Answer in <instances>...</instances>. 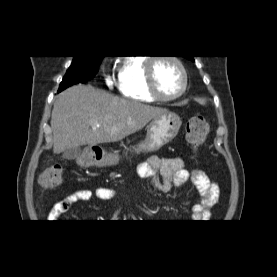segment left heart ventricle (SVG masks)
Returning a JSON list of instances; mask_svg holds the SVG:
<instances>
[{
    "label": "left heart ventricle",
    "mask_w": 277,
    "mask_h": 277,
    "mask_svg": "<svg viewBox=\"0 0 277 277\" xmlns=\"http://www.w3.org/2000/svg\"><path fill=\"white\" fill-rule=\"evenodd\" d=\"M154 75L157 88L164 96H173L182 88L181 72L178 66L170 60H158L154 65Z\"/></svg>",
    "instance_id": "1"
}]
</instances>
